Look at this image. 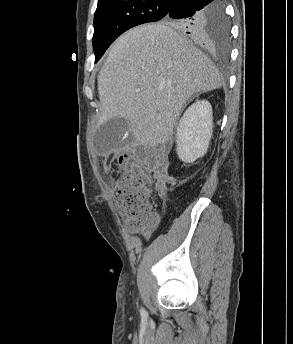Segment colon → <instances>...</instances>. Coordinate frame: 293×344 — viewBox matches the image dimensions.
<instances>
[{
	"label": "colon",
	"instance_id": "obj_1",
	"mask_svg": "<svg viewBox=\"0 0 293 344\" xmlns=\"http://www.w3.org/2000/svg\"><path fill=\"white\" fill-rule=\"evenodd\" d=\"M123 170V179L116 184V208L131 232L147 233L158 221L153 206L151 181L145 171L130 158L118 160Z\"/></svg>",
	"mask_w": 293,
	"mask_h": 344
}]
</instances>
